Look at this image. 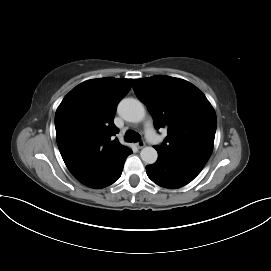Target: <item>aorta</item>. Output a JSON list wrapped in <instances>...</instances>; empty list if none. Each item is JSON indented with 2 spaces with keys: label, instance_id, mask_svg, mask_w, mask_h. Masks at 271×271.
Segmentation results:
<instances>
[{
  "label": "aorta",
  "instance_id": "762f6f07",
  "mask_svg": "<svg viewBox=\"0 0 271 271\" xmlns=\"http://www.w3.org/2000/svg\"><path fill=\"white\" fill-rule=\"evenodd\" d=\"M118 113L126 121L132 123L141 122L145 118V108L143 104L134 98L123 99L118 105ZM140 156L146 164H154L157 161L158 153L153 147H144Z\"/></svg>",
  "mask_w": 271,
  "mask_h": 271
}]
</instances>
